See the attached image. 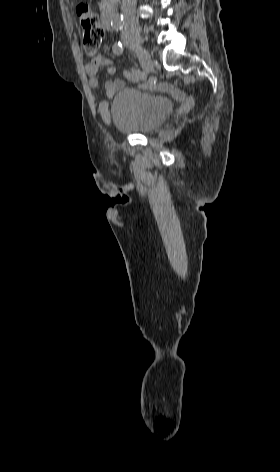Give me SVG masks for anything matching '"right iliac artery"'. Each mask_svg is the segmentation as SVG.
Returning a JSON list of instances; mask_svg holds the SVG:
<instances>
[{
	"label": "right iliac artery",
	"mask_w": 280,
	"mask_h": 472,
	"mask_svg": "<svg viewBox=\"0 0 280 472\" xmlns=\"http://www.w3.org/2000/svg\"><path fill=\"white\" fill-rule=\"evenodd\" d=\"M112 29L115 31H118L121 28L118 25H114L112 26ZM113 52L117 55H120L123 52V45L121 44L120 41L114 44ZM132 74L137 80H145L147 78V75L145 74V72L139 69H132Z\"/></svg>",
	"instance_id": "1"
}]
</instances>
